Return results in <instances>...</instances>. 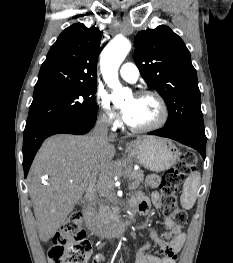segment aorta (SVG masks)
<instances>
[{
	"mask_svg": "<svg viewBox=\"0 0 233 263\" xmlns=\"http://www.w3.org/2000/svg\"><path fill=\"white\" fill-rule=\"evenodd\" d=\"M131 49L128 39L117 36L111 40L102 52L101 72L107 85L114 91V99L123 101L130 95L128 88L122 87L118 80V69Z\"/></svg>",
	"mask_w": 233,
	"mask_h": 263,
	"instance_id": "762f6f07",
	"label": "aorta"
}]
</instances>
